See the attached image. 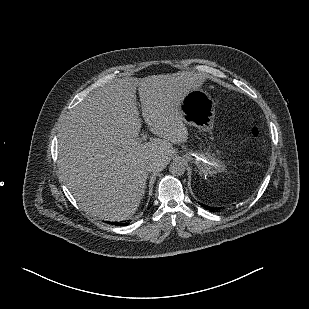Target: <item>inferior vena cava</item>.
Listing matches in <instances>:
<instances>
[{"mask_svg": "<svg viewBox=\"0 0 309 309\" xmlns=\"http://www.w3.org/2000/svg\"><path fill=\"white\" fill-rule=\"evenodd\" d=\"M162 164V162H154L150 165V171H154L155 169H157V167H159Z\"/></svg>", "mask_w": 309, "mask_h": 309, "instance_id": "1", "label": "inferior vena cava"}]
</instances>
